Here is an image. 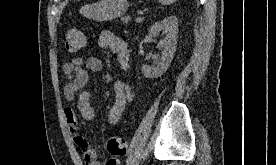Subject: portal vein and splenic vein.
Wrapping results in <instances>:
<instances>
[{
    "label": "portal vein and splenic vein",
    "mask_w": 276,
    "mask_h": 165,
    "mask_svg": "<svg viewBox=\"0 0 276 165\" xmlns=\"http://www.w3.org/2000/svg\"><path fill=\"white\" fill-rule=\"evenodd\" d=\"M141 15H142V14H141ZM141 15L138 16V17L136 18V20H135L136 22H141V21H143V17H142Z\"/></svg>",
    "instance_id": "1"
}]
</instances>
